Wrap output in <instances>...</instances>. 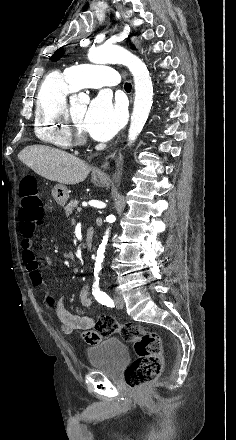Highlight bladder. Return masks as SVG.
<instances>
[{
  "label": "bladder",
  "instance_id": "obj_1",
  "mask_svg": "<svg viewBox=\"0 0 236 440\" xmlns=\"http://www.w3.org/2000/svg\"><path fill=\"white\" fill-rule=\"evenodd\" d=\"M92 371L117 376L129 360L127 345L117 338H107L87 349Z\"/></svg>",
  "mask_w": 236,
  "mask_h": 440
}]
</instances>
